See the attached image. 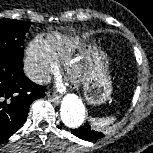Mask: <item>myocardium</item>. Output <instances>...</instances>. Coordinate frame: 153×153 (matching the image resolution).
<instances>
[{
	"mask_svg": "<svg viewBox=\"0 0 153 153\" xmlns=\"http://www.w3.org/2000/svg\"><path fill=\"white\" fill-rule=\"evenodd\" d=\"M68 75L73 82H79L83 75L82 67L78 64H72L68 68Z\"/></svg>",
	"mask_w": 153,
	"mask_h": 153,
	"instance_id": "f54148a6",
	"label": "myocardium"
}]
</instances>
